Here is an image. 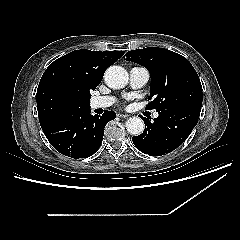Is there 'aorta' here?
<instances>
[{"label": "aorta", "instance_id": "762f6f07", "mask_svg": "<svg viewBox=\"0 0 240 240\" xmlns=\"http://www.w3.org/2000/svg\"><path fill=\"white\" fill-rule=\"evenodd\" d=\"M105 82L112 89L124 88L129 80L127 71L121 66L109 67L104 75ZM125 127L127 131L134 136H138L144 131V122L139 117H131L126 121Z\"/></svg>", "mask_w": 240, "mask_h": 240}]
</instances>
